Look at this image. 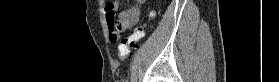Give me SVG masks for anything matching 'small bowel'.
<instances>
[{"instance_id":"1","label":"small bowel","mask_w":279,"mask_h":82,"mask_svg":"<svg viewBox=\"0 0 279 82\" xmlns=\"http://www.w3.org/2000/svg\"><path fill=\"white\" fill-rule=\"evenodd\" d=\"M143 0H136V4L121 11L115 20V12L119 7V1L109 2L105 5L106 21L110 35V42L116 44L120 34L135 26L140 17V5Z\"/></svg>"}]
</instances>
